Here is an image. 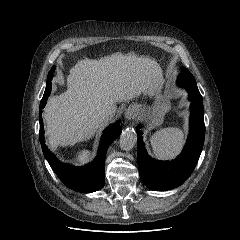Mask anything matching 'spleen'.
Masks as SVG:
<instances>
[{
    "instance_id": "3e777b00",
    "label": "spleen",
    "mask_w": 240,
    "mask_h": 240,
    "mask_svg": "<svg viewBox=\"0 0 240 240\" xmlns=\"http://www.w3.org/2000/svg\"><path fill=\"white\" fill-rule=\"evenodd\" d=\"M183 139L184 134L179 128H164L153 134L151 146L156 157L172 158L181 149Z\"/></svg>"
}]
</instances>
